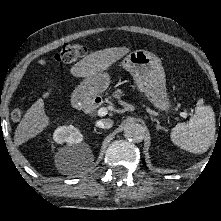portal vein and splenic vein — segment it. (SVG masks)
<instances>
[{"label":"portal vein and splenic vein","instance_id":"obj_1","mask_svg":"<svg viewBox=\"0 0 221 221\" xmlns=\"http://www.w3.org/2000/svg\"><path fill=\"white\" fill-rule=\"evenodd\" d=\"M108 113V109L106 107H101L98 109L97 111V115L100 116V117H103L105 115H107ZM188 115H192L191 113H186V112H180V116L183 117V118H187Z\"/></svg>","mask_w":221,"mask_h":221}]
</instances>
